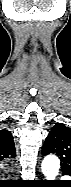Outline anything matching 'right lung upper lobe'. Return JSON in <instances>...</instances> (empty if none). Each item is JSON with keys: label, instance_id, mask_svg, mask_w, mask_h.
<instances>
[{"label": "right lung upper lobe", "instance_id": "cb5924a9", "mask_svg": "<svg viewBox=\"0 0 71 187\" xmlns=\"http://www.w3.org/2000/svg\"><path fill=\"white\" fill-rule=\"evenodd\" d=\"M0 156L5 160L15 158L16 156L12 134L5 129L0 130Z\"/></svg>", "mask_w": 71, "mask_h": 187}]
</instances>
